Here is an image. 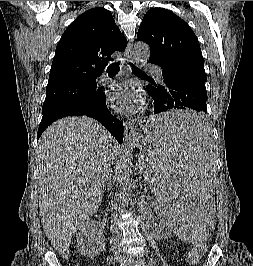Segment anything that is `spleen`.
Listing matches in <instances>:
<instances>
[{"instance_id":"3e777b00","label":"spleen","mask_w":253,"mask_h":266,"mask_svg":"<svg viewBox=\"0 0 253 266\" xmlns=\"http://www.w3.org/2000/svg\"><path fill=\"white\" fill-rule=\"evenodd\" d=\"M200 111H164L150 117L149 132H154L140 165L146 174V186L152 191L154 204H161L176 229L181 248H207L210 235H217L211 185L215 179L211 160L206 115Z\"/></svg>"}]
</instances>
